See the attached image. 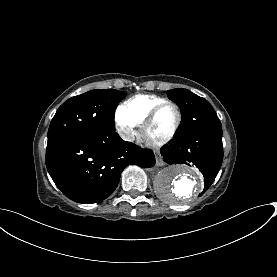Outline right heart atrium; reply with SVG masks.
Returning <instances> with one entry per match:
<instances>
[{
  "instance_id": "obj_1",
  "label": "right heart atrium",
  "mask_w": 277,
  "mask_h": 277,
  "mask_svg": "<svg viewBox=\"0 0 277 277\" xmlns=\"http://www.w3.org/2000/svg\"><path fill=\"white\" fill-rule=\"evenodd\" d=\"M136 126L137 123L131 118L117 115V128L124 139L130 140L134 136Z\"/></svg>"
}]
</instances>
